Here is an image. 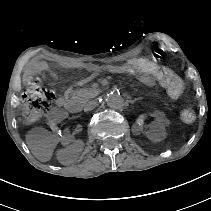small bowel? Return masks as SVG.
<instances>
[{
    "label": "small bowel",
    "mask_w": 211,
    "mask_h": 211,
    "mask_svg": "<svg viewBox=\"0 0 211 211\" xmlns=\"http://www.w3.org/2000/svg\"><path fill=\"white\" fill-rule=\"evenodd\" d=\"M47 66L44 62H42L41 60H37L34 62V64L29 68V70L26 73V77L28 79L32 78L37 72L46 70ZM90 70L92 72V75H95L101 71H109V72H113V73H125V72H130L129 69H127L126 67L120 66V67H116V66H106V67H96V66H91ZM89 78H86L84 80L81 81V83H84L88 80ZM139 80L143 83L146 84L148 86H152L154 85V80L152 77L150 76H139ZM69 95V91H64L61 95H59L55 102L57 105H64L65 102L67 101ZM54 114H51L50 118H49V127L51 130H56V122L55 119L53 117ZM166 124V118L164 116V114L161 111H155L153 113V121L150 124L149 128L152 130H159L161 128H163Z\"/></svg>",
    "instance_id": "1"
}]
</instances>
